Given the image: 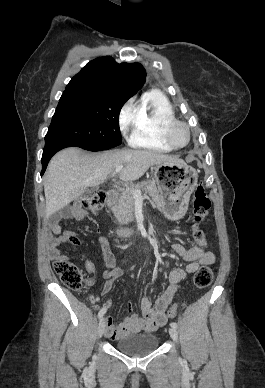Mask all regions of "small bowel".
<instances>
[{
    "label": "small bowel",
    "instance_id": "obj_1",
    "mask_svg": "<svg viewBox=\"0 0 265 388\" xmlns=\"http://www.w3.org/2000/svg\"><path fill=\"white\" fill-rule=\"evenodd\" d=\"M60 217L82 221L88 217V214L81 207L80 203L76 202L51 220L50 229L55 236L50 242L49 255L51 259L56 261L66 260V257L62 255L59 250L61 244L65 242H70L73 245L80 244V240L75 232L66 231L63 234H60ZM95 243L101 249L106 267V270L104 271L105 282L101 290V295L104 296L111 291L114 282L122 276L123 271L116 266V260L108 239L104 236H98L95 239ZM172 248L182 260L187 262L186 266L183 268H175L170 271L168 275L170 287L155 300L154 304H152L147 297H143L140 300L142 315L130 313L119 325H114L112 317H105V335L108 338L114 340L130 333L150 332L164 326L167 322L166 310L178 290L179 283L189 274L196 272L201 265H210L215 262V254L212 251L204 250L200 245L185 247L183 244L176 243ZM83 261L84 267L90 275V277L86 279V285L92 286L96 281V267L87 257H84ZM90 298L92 304L99 301V297L91 296ZM112 304L113 301L108 299L102 309L105 308L107 311ZM128 310L131 311L130 305H128Z\"/></svg>",
    "mask_w": 265,
    "mask_h": 388
}]
</instances>
